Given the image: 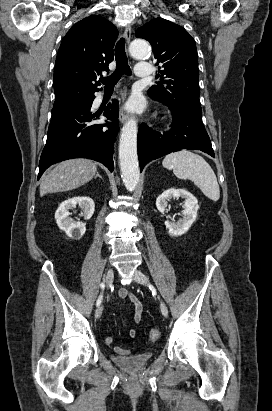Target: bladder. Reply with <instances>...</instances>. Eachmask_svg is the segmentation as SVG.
<instances>
[{"instance_id":"obj_1","label":"bladder","mask_w":272,"mask_h":411,"mask_svg":"<svg viewBox=\"0 0 272 411\" xmlns=\"http://www.w3.org/2000/svg\"><path fill=\"white\" fill-rule=\"evenodd\" d=\"M153 353L146 352L128 356L112 355L111 360L120 368L129 371L137 372L143 369L152 359Z\"/></svg>"}]
</instances>
